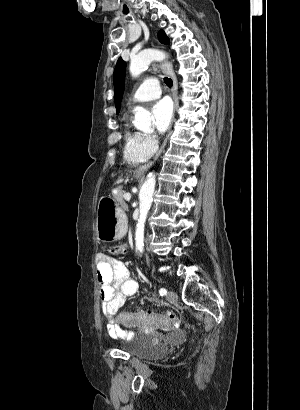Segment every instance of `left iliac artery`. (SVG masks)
Segmentation results:
<instances>
[{
  "mask_svg": "<svg viewBox=\"0 0 300 410\" xmlns=\"http://www.w3.org/2000/svg\"><path fill=\"white\" fill-rule=\"evenodd\" d=\"M159 293H160L161 296H164V295L167 294V290H166L165 288H161V289L159 290Z\"/></svg>",
  "mask_w": 300,
  "mask_h": 410,
  "instance_id": "obj_1",
  "label": "left iliac artery"
}]
</instances>
